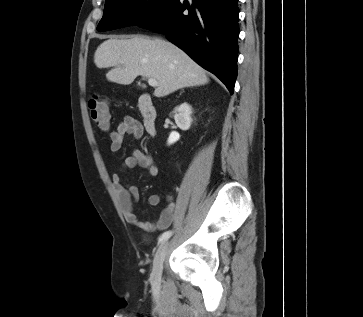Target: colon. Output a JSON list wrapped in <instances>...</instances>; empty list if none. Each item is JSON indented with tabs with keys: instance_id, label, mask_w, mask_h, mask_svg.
I'll use <instances>...</instances> for the list:
<instances>
[{
	"instance_id": "colon-1",
	"label": "colon",
	"mask_w": 363,
	"mask_h": 317,
	"mask_svg": "<svg viewBox=\"0 0 363 317\" xmlns=\"http://www.w3.org/2000/svg\"><path fill=\"white\" fill-rule=\"evenodd\" d=\"M88 109L92 121L100 129H107L110 119L107 103L98 97H94L89 100Z\"/></svg>"
}]
</instances>
